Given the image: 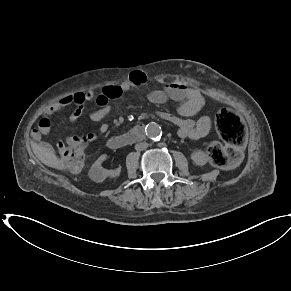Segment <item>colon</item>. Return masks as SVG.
Instances as JSON below:
<instances>
[{"mask_svg":"<svg viewBox=\"0 0 291 291\" xmlns=\"http://www.w3.org/2000/svg\"><path fill=\"white\" fill-rule=\"evenodd\" d=\"M64 105L72 103V97L63 99ZM217 131L224 140L225 145L212 142L208 147L211 162L218 167H230L240 157V148L246 140V127L240 116L230 110L221 109L215 118ZM64 165L73 172L81 171L86 165V143L81 139H73L68 147L62 152Z\"/></svg>","mask_w":291,"mask_h":291,"instance_id":"obj_1","label":"colon"}]
</instances>
